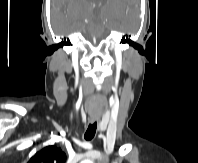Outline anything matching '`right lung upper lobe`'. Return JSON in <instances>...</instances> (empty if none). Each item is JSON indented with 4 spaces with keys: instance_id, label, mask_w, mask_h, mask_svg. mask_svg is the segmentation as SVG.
Segmentation results:
<instances>
[{
    "instance_id": "1",
    "label": "right lung upper lobe",
    "mask_w": 198,
    "mask_h": 163,
    "mask_svg": "<svg viewBox=\"0 0 198 163\" xmlns=\"http://www.w3.org/2000/svg\"><path fill=\"white\" fill-rule=\"evenodd\" d=\"M65 154L55 145L47 146L37 152L28 163H64Z\"/></svg>"
}]
</instances>
